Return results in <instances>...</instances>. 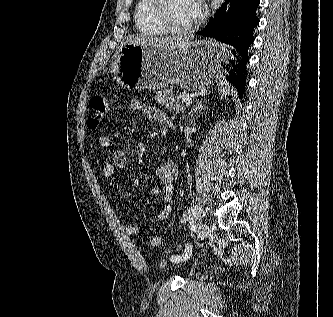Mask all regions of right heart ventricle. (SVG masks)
Masks as SVG:
<instances>
[{
	"label": "right heart ventricle",
	"instance_id": "obj_1",
	"mask_svg": "<svg viewBox=\"0 0 333 317\" xmlns=\"http://www.w3.org/2000/svg\"><path fill=\"white\" fill-rule=\"evenodd\" d=\"M151 0H138L134 20L137 30L147 36H161L166 32L156 23L151 13Z\"/></svg>",
	"mask_w": 333,
	"mask_h": 317
}]
</instances>
